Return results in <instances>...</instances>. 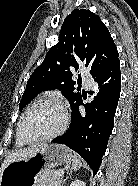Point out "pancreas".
I'll use <instances>...</instances> for the list:
<instances>
[{
  "label": "pancreas",
  "mask_w": 138,
  "mask_h": 186,
  "mask_svg": "<svg viewBox=\"0 0 138 186\" xmlns=\"http://www.w3.org/2000/svg\"><path fill=\"white\" fill-rule=\"evenodd\" d=\"M59 170H49L40 174L36 179V186H61L62 177L57 176Z\"/></svg>",
  "instance_id": "pancreas-1"
}]
</instances>
